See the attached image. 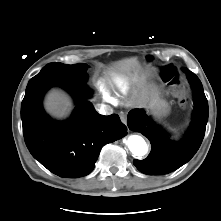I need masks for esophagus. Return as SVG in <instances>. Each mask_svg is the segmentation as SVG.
<instances>
[{"instance_id": "obj_1", "label": "esophagus", "mask_w": 221, "mask_h": 221, "mask_svg": "<svg viewBox=\"0 0 221 221\" xmlns=\"http://www.w3.org/2000/svg\"><path fill=\"white\" fill-rule=\"evenodd\" d=\"M120 119H121V121H122L124 124L127 123V117H126L125 114H120Z\"/></svg>"}]
</instances>
